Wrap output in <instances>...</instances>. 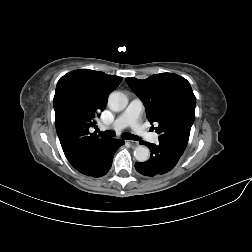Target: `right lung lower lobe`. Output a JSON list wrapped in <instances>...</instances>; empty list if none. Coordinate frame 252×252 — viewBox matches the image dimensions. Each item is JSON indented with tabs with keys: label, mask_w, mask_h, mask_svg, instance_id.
Listing matches in <instances>:
<instances>
[{
	"label": "right lung lower lobe",
	"mask_w": 252,
	"mask_h": 252,
	"mask_svg": "<svg viewBox=\"0 0 252 252\" xmlns=\"http://www.w3.org/2000/svg\"><path fill=\"white\" fill-rule=\"evenodd\" d=\"M124 144L123 140L107 138L101 144L84 152L71 165L80 173L92 176H104L111 168L116 150Z\"/></svg>",
	"instance_id": "obj_1"
}]
</instances>
